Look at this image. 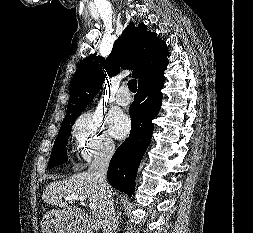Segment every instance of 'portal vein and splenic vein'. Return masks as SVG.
Instances as JSON below:
<instances>
[{
	"label": "portal vein and splenic vein",
	"instance_id": "18ae733b",
	"mask_svg": "<svg viewBox=\"0 0 253 233\" xmlns=\"http://www.w3.org/2000/svg\"><path fill=\"white\" fill-rule=\"evenodd\" d=\"M64 199L65 200H68V201H73V200H79V201H81L82 203L84 202V201H86V198L84 197V196H81V195H69V196H65L64 197ZM89 208H90V210H92V211H96V209H97V206H96V204H94V203H90L89 204Z\"/></svg>",
	"mask_w": 253,
	"mask_h": 233
}]
</instances>
